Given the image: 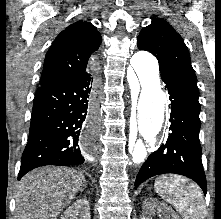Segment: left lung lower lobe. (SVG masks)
<instances>
[{
	"instance_id": "left-lung-lower-lobe-1",
	"label": "left lung lower lobe",
	"mask_w": 221,
	"mask_h": 219,
	"mask_svg": "<svg viewBox=\"0 0 221 219\" xmlns=\"http://www.w3.org/2000/svg\"><path fill=\"white\" fill-rule=\"evenodd\" d=\"M171 100L167 141L142 165L135 189L148 178L165 173L184 175L194 180L206 194V177L201 161L199 92L170 76L161 77Z\"/></svg>"
}]
</instances>
